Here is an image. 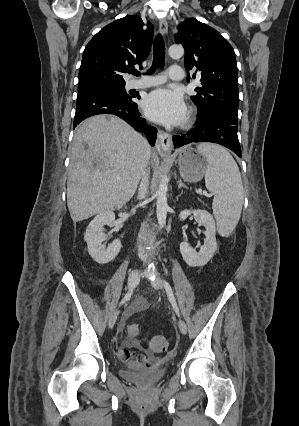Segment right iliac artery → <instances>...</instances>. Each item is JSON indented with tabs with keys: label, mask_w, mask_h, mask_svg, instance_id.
<instances>
[{
	"label": "right iliac artery",
	"mask_w": 299,
	"mask_h": 426,
	"mask_svg": "<svg viewBox=\"0 0 299 426\" xmlns=\"http://www.w3.org/2000/svg\"><path fill=\"white\" fill-rule=\"evenodd\" d=\"M132 293H133V291L132 290H130L125 296H124V298L122 299V301L120 302V305H122V304H124L126 301H128L130 298H131V296H132Z\"/></svg>",
	"instance_id": "right-iliac-artery-1"
}]
</instances>
